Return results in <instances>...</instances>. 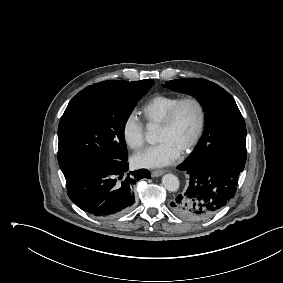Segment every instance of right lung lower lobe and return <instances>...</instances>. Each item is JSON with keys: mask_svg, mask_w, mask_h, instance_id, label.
<instances>
[{"mask_svg": "<svg viewBox=\"0 0 283 283\" xmlns=\"http://www.w3.org/2000/svg\"><path fill=\"white\" fill-rule=\"evenodd\" d=\"M128 170L125 159H92L63 172L69 198L85 212L108 218L130 211L135 203L133 188L142 178H150L146 169Z\"/></svg>", "mask_w": 283, "mask_h": 283, "instance_id": "98d812e1", "label": "right lung lower lobe"}]
</instances>
